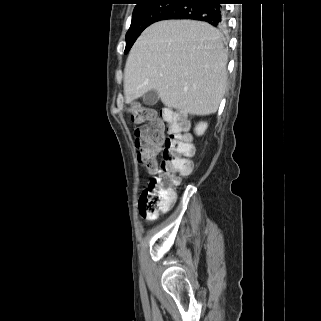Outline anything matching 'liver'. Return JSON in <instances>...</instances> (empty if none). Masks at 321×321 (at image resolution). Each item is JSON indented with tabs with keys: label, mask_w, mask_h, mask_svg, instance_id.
<instances>
[{
	"label": "liver",
	"mask_w": 321,
	"mask_h": 321,
	"mask_svg": "<svg viewBox=\"0 0 321 321\" xmlns=\"http://www.w3.org/2000/svg\"><path fill=\"white\" fill-rule=\"evenodd\" d=\"M221 34L205 22L165 20L143 31L124 70L126 103L156 90L168 108L191 115L217 111L227 81Z\"/></svg>",
	"instance_id": "liver-1"
}]
</instances>
